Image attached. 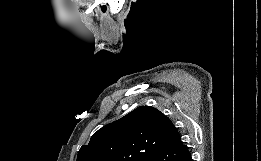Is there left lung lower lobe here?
Masks as SVG:
<instances>
[{"mask_svg": "<svg viewBox=\"0 0 261 161\" xmlns=\"http://www.w3.org/2000/svg\"><path fill=\"white\" fill-rule=\"evenodd\" d=\"M149 161H193L186 145L182 144L177 132L170 143L160 146L151 156Z\"/></svg>", "mask_w": 261, "mask_h": 161, "instance_id": "0a47b994", "label": "left lung lower lobe"}]
</instances>
